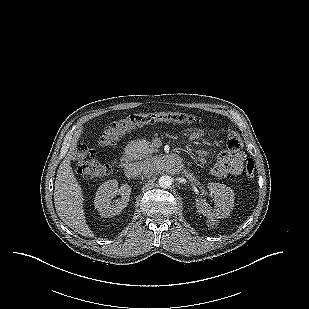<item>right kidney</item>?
Listing matches in <instances>:
<instances>
[{"mask_svg":"<svg viewBox=\"0 0 309 309\" xmlns=\"http://www.w3.org/2000/svg\"><path fill=\"white\" fill-rule=\"evenodd\" d=\"M117 193L121 195V199L113 204L111 200ZM130 193L131 187L128 184H123L118 188L117 180L104 182L96 192L95 208L102 217L107 218L118 215L128 205Z\"/></svg>","mask_w":309,"mask_h":309,"instance_id":"right-kidney-1","label":"right kidney"}]
</instances>
